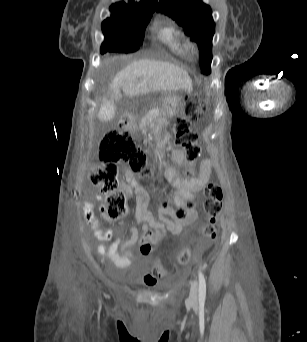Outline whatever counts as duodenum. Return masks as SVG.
Masks as SVG:
<instances>
[{
	"label": "duodenum",
	"instance_id": "obj_1",
	"mask_svg": "<svg viewBox=\"0 0 307 342\" xmlns=\"http://www.w3.org/2000/svg\"><path fill=\"white\" fill-rule=\"evenodd\" d=\"M122 127L129 128L132 126V120L129 117H124L121 121Z\"/></svg>",
	"mask_w": 307,
	"mask_h": 342
}]
</instances>
